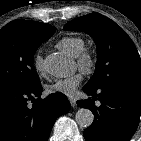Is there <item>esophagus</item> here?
I'll return each mask as SVG.
<instances>
[{
    "instance_id": "34e87169",
    "label": "esophagus",
    "mask_w": 141,
    "mask_h": 141,
    "mask_svg": "<svg viewBox=\"0 0 141 141\" xmlns=\"http://www.w3.org/2000/svg\"><path fill=\"white\" fill-rule=\"evenodd\" d=\"M68 99H69V102H70L71 106L75 107L76 106V100L74 98H72V97H69Z\"/></svg>"
}]
</instances>
